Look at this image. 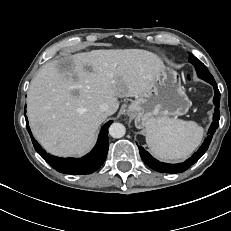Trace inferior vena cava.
Listing matches in <instances>:
<instances>
[{
  "label": "inferior vena cava",
  "instance_id": "obj_1",
  "mask_svg": "<svg viewBox=\"0 0 231 231\" xmlns=\"http://www.w3.org/2000/svg\"><path fill=\"white\" fill-rule=\"evenodd\" d=\"M99 110H100V112L104 113L107 116L111 114L110 107L106 103L100 105Z\"/></svg>",
  "mask_w": 231,
  "mask_h": 231
}]
</instances>
